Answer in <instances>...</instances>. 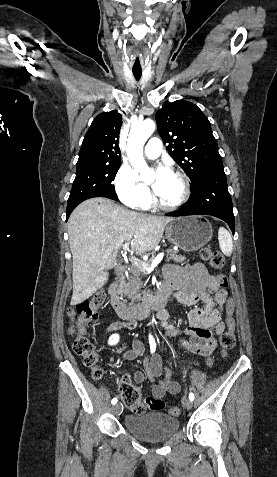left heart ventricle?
Wrapping results in <instances>:
<instances>
[{"label": "left heart ventricle", "mask_w": 277, "mask_h": 477, "mask_svg": "<svg viewBox=\"0 0 277 477\" xmlns=\"http://www.w3.org/2000/svg\"><path fill=\"white\" fill-rule=\"evenodd\" d=\"M152 183L155 186L156 176L152 179ZM183 187L180 179L171 174L163 183L161 189L157 192L159 198L168 204L175 203L182 195Z\"/></svg>", "instance_id": "obj_1"}]
</instances>
